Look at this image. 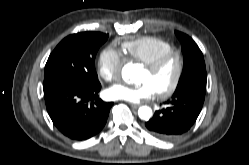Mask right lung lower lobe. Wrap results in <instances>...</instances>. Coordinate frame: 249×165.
<instances>
[{"label":"right lung lower lobe","instance_id":"obj_1","mask_svg":"<svg viewBox=\"0 0 249 165\" xmlns=\"http://www.w3.org/2000/svg\"><path fill=\"white\" fill-rule=\"evenodd\" d=\"M100 89V84L84 87L57 79L44 80L46 108L54 125L62 134L81 141L101 131L113 103H106L97 98ZM89 101L91 106L88 105Z\"/></svg>","mask_w":249,"mask_h":165}]
</instances>
